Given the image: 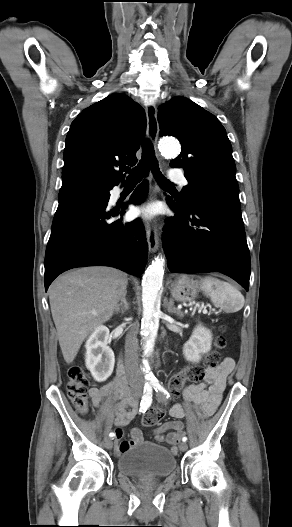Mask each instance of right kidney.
Here are the masks:
<instances>
[{"label":"right kidney","mask_w":292,"mask_h":527,"mask_svg":"<svg viewBox=\"0 0 292 527\" xmlns=\"http://www.w3.org/2000/svg\"><path fill=\"white\" fill-rule=\"evenodd\" d=\"M109 329L99 326L94 329L86 341V367L97 382L105 381L113 372L115 357L112 349L107 345Z\"/></svg>","instance_id":"1"}]
</instances>
